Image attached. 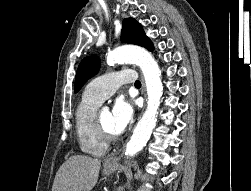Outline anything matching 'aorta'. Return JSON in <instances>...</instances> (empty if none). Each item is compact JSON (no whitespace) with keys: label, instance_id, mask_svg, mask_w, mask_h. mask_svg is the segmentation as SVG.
I'll return each mask as SVG.
<instances>
[{"label":"aorta","instance_id":"obj_1","mask_svg":"<svg viewBox=\"0 0 251 191\" xmlns=\"http://www.w3.org/2000/svg\"><path fill=\"white\" fill-rule=\"evenodd\" d=\"M108 64H136L140 66L147 90V107L139 119L130 141L127 143L126 155H135L146 145L157 121V109L160 105V99L163 94L161 82V72L153 56L138 46H120L107 56Z\"/></svg>","mask_w":251,"mask_h":191}]
</instances>
